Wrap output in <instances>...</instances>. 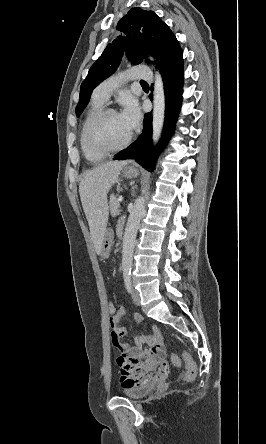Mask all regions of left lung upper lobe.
<instances>
[{
    "instance_id": "left-lung-upper-lobe-1",
    "label": "left lung upper lobe",
    "mask_w": 266,
    "mask_h": 444,
    "mask_svg": "<svg viewBox=\"0 0 266 444\" xmlns=\"http://www.w3.org/2000/svg\"><path fill=\"white\" fill-rule=\"evenodd\" d=\"M117 30L124 36H118L106 47L81 84L76 107L78 117L86 107L92 90L117 69L124 52L134 65L143 61L145 53H150L160 69L182 53L170 28L153 11L132 8L118 22ZM145 61L148 62L147 59Z\"/></svg>"
}]
</instances>
